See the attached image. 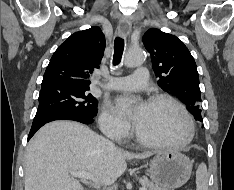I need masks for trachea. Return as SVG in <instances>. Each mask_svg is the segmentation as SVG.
<instances>
[{
  "label": "trachea",
  "mask_w": 234,
  "mask_h": 190,
  "mask_svg": "<svg viewBox=\"0 0 234 190\" xmlns=\"http://www.w3.org/2000/svg\"><path fill=\"white\" fill-rule=\"evenodd\" d=\"M123 51H124V40L120 37H116L114 41V55H113L114 66L120 64Z\"/></svg>",
  "instance_id": "obj_1"
}]
</instances>
